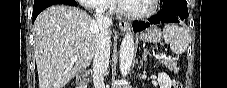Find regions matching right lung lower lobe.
<instances>
[{
    "instance_id": "right-lung-lower-lobe-1",
    "label": "right lung lower lobe",
    "mask_w": 227,
    "mask_h": 88,
    "mask_svg": "<svg viewBox=\"0 0 227 88\" xmlns=\"http://www.w3.org/2000/svg\"><path fill=\"white\" fill-rule=\"evenodd\" d=\"M63 3V0H38L34 2V8H33V23L38 16V14L43 11L48 6L54 5V4H61Z\"/></svg>"
}]
</instances>
